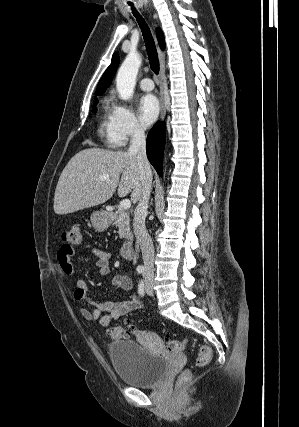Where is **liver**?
Listing matches in <instances>:
<instances>
[{
    "label": "liver",
    "mask_w": 299,
    "mask_h": 427,
    "mask_svg": "<svg viewBox=\"0 0 299 427\" xmlns=\"http://www.w3.org/2000/svg\"><path fill=\"white\" fill-rule=\"evenodd\" d=\"M108 174L109 178L100 180ZM131 193L136 203L142 194L141 176L135 154L88 148L75 154L63 169L54 195V212L73 213L105 203L115 193Z\"/></svg>",
    "instance_id": "obj_1"
}]
</instances>
